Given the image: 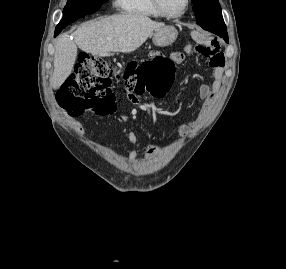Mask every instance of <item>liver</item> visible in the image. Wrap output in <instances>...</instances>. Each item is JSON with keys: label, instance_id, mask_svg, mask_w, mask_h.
Returning <instances> with one entry per match:
<instances>
[{"label": "liver", "instance_id": "1", "mask_svg": "<svg viewBox=\"0 0 286 269\" xmlns=\"http://www.w3.org/2000/svg\"><path fill=\"white\" fill-rule=\"evenodd\" d=\"M162 26L163 23L141 14L115 15L83 24L73 33L74 40L61 36L55 46L52 87L58 89L71 74L77 47L100 57L110 52L130 53Z\"/></svg>", "mask_w": 286, "mask_h": 269}]
</instances>
